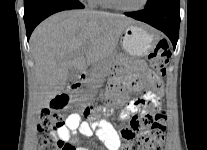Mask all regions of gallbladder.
Returning a JSON list of instances; mask_svg holds the SVG:
<instances>
[{
	"label": "gallbladder",
	"mask_w": 207,
	"mask_h": 150,
	"mask_svg": "<svg viewBox=\"0 0 207 150\" xmlns=\"http://www.w3.org/2000/svg\"><path fill=\"white\" fill-rule=\"evenodd\" d=\"M77 79V72L74 70H70L68 73V82H72Z\"/></svg>",
	"instance_id": "bac80fb5"
}]
</instances>
